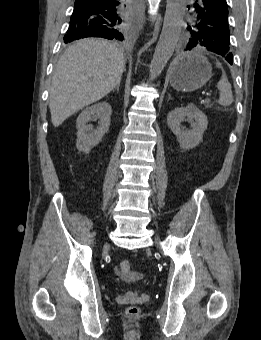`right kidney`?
<instances>
[{"label": "right kidney", "instance_id": "obj_1", "mask_svg": "<svg viewBox=\"0 0 261 340\" xmlns=\"http://www.w3.org/2000/svg\"><path fill=\"white\" fill-rule=\"evenodd\" d=\"M112 108L107 102H100L87 107L77 118V141L76 147L79 151L89 153L109 130ZM92 118H99V126L93 129L87 123Z\"/></svg>", "mask_w": 261, "mask_h": 340}]
</instances>
